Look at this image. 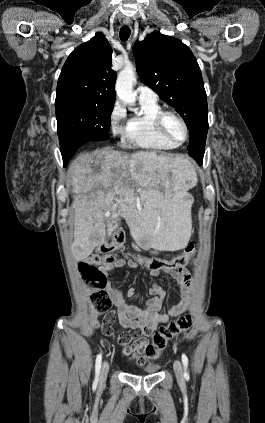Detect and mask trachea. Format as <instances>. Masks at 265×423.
Listing matches in <instances>:
<instances>
[{"instance_id":"3493384b","label":"trachea","mask_w":265,"mask_h":423,"mask_svg":"<svg viewBox=\"0 0 265 423\" xmlns=\"http://www.w3.org/2000/svg\"><path fill=\"white\" fill-rule=\"evenodd\" d=\"M130 33H131L130 28L128 26H123L119 32L120 39L122 41H127L128 38L130 37Z\"/></svg>"}]
</instances>
